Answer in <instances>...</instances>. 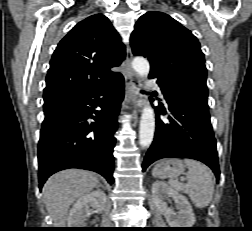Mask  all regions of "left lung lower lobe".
Here are the masks:
<instances>
[{"label":"left lung lower lobe","instance_id":"1","mask_svg":"<svg viewBox=\"0 0 252 231\" xmlns=\"http://www.w3.org/2000/svg\"><path fill=\"white\" fill-rule=\"evenodd\" d=\"M169 105L156 107V132L142 165V170L162 158H191L208 165L219 180L218 153L213 134L208 89L202 83L168 75H152ZM159 114H168L169 121H162Z\"/></svg>","mask_w":252,"mask_h":231}]
</instances>
